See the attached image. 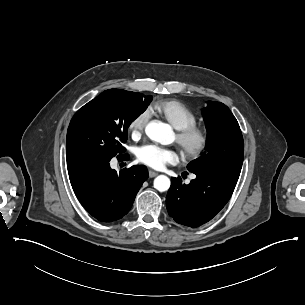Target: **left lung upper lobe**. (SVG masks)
I'll return each mask as SVG.
<instances>
[{
  "label": "left lung upper lobe",
  "instance_id": "1",
  "mask_svg": "<svg viewBox=\"0 0 305 305\" xmlns=\"http://www.w3.org/2000/svg\"><path fill=\"white\" fill-rule=\"evenodd\" d=\"M202 114L207 128L206 151L188 165V170L241 171L244 142L230 109L223 103L209 101Z\"/></svg>",
  "mask_w": 305,
  "mask_h": 305
}]
</instances>
